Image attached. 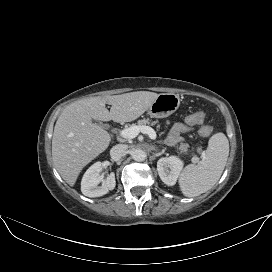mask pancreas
<instances>
[{
	"instance_id": "cf45deb5",
	"label": "pancreas",
	"mask_w": 272,
	"mask_h": 272,
	"mask_svg": "<svg viewBox=\"0 0 272 272\" xmlns=\"http://www.w3.org/2000/svg\"><path fill=\"white\" fill-rule=\"evenodd\" d=\"M155 124H157V121L150 122L149 119H142L137 122L138 126L155 125ZM179 150L181 153H186L188 150V144L180 145Z\"/></svg>"
}]
</instances>
